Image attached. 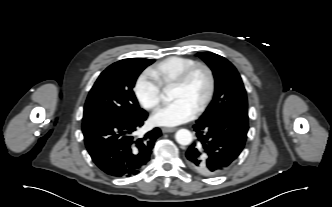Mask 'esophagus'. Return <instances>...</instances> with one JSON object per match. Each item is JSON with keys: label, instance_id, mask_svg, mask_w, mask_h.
Instances as JSON below:
<instances>
[{"label": "esophagus", "instance_id": "obj_1", "mask_svg": "<svg viewBox=\"0 0 332 207\" xmlns=\"http://www.w3.org/2000/svg\"><path fill=\"white\" fill-rule=\"evenodd\" d=\"M174 131H176V128H168V127L162 128L163 133H170V132H174Z\"/></svg>", "mask_w": 332, "mask_h": 207}]
</instances>
